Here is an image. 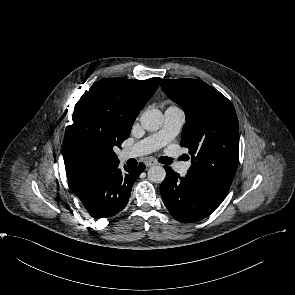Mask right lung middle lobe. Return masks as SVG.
I'll return each mask as SVG.
<instances>
[{
    "label": "right lung middle lobe",
    "mask_w": 295,
    "mask_h": 295,
    "mask_svg": "<svg viewBox=\"0 0 295 295\" xmlns=\"http://www.w3.org/2000/svg\"><path fill=\"white\" fill-rule=\"evenodd\" d=\"M140 110L126 91L125 79H102L76 103L69 130L79 140L116 157L113 147H121L129 137Z\"/></svg>",
    "instance_id": "dd1d6c3e"
}]
</instances>
